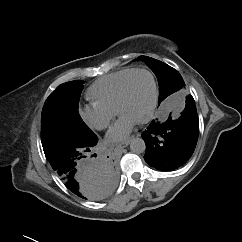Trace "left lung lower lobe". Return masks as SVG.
<instances>
[{
    "mask_svg": "<svg viewBox=\"0 0 242 242\" xmlns=\"http://www.w3.org/2000/svg\"><path fill=\"white\" fill-rule=\"evenodd\" d=\"M199 135V120L192 96L179 119L171 116L163 122L152 121L142 133L146 144L145 161L162 171H173L183 166L192 156Z\"/></svg>",
    "mask_w": 242,
    "mask_h": 242,
    "instance_id": "obj_1",
    "label": "left lung lower lobe"
}]
</instances>
